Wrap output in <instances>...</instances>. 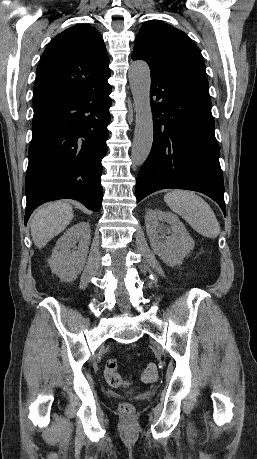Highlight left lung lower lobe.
Here are the masks:
<instances>
[{
  "mask_svg": "<svg viewBox=\"0 0 257 459\" xmlns=\"http://www.w3.org/2000/svg\"><path fill=\"white\" fill-rule=\"evenodd\" d=\"M150 103L154 139L137 176V203L161 189H188L212 198L226 215L208 81L151 75Z\"/></svg>",
  "mask_w": 257,
  "mask_h": 459,
  "instance_id": "1",
  "label": "left lung lower lobe"
}]
</instances>
